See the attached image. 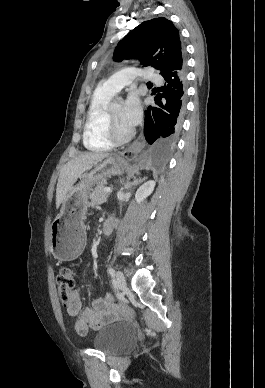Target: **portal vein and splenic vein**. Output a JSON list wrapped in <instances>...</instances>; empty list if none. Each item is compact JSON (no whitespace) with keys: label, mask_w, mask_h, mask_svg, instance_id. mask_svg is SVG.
Instances as JSON below:
<instances>
[{"label":"portal vein and splenic vein","mask_w":265,"mask_h":388,"mask_svg":"<svg viewBox=\"0 0 265 388\" xmlns=\"http://www.w3.org/2000/svg\"><path fill=\"white\" fill-rule=\"evenodd\" d=\"M104 192H112L111 188H104Z\"/></svg>","instance_id":"portal-vein-and-splenic-vein-1"}]
</instances>
